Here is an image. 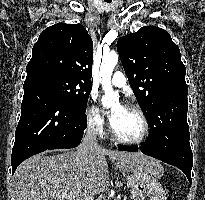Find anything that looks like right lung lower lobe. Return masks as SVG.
<instances>
[{"label":"right lung lower lobe","mask_w":205,"mask_h":200,"mask_svg":"<svg viewBox=\"0 0 205 200\" xmlns=\"http://www.w3.org/2000/svg\"><path fill=\"white\" fill-rule=\"evenodd\" d=\"M86 127L85 111L71 106L50 88L25 86L12 149L13 173L22 161L37 153L78 146Z\"/></svg>","instance_id":"1"}]
</instances>
